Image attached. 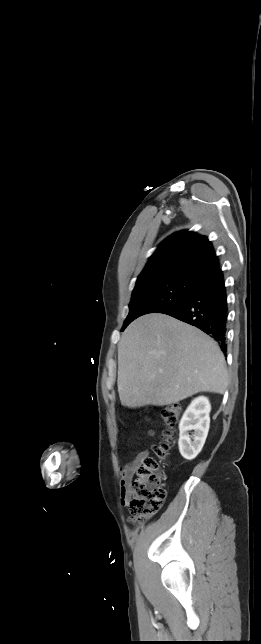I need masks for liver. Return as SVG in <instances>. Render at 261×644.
Segmentation results:
<instances>
[{
  "label": "liver",
  "instance_id": "1",
  "mask_svg": "<svg viewBox=\"0 0 261 644\" xmlns=\"http://www.w3.org/2000/svg\"><path fill=\"white\" fill-rule=\"evenodd\" d=\"M118 392L128 408L177 403L228 386L218 344L199 329L152 313L133 321L118 343Z\"/></svg>",
  "mask_w": 261,
  "mask_h": 644
}]
</instances>
